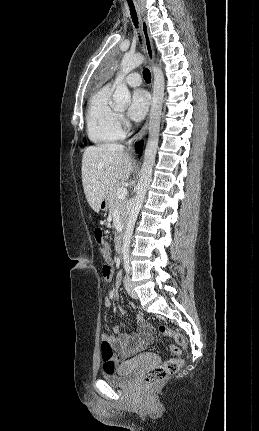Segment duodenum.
I'll return each instance as SVG.
<instances>
[{"label": "duodenum", "mask_w": 259, "mask_h": 431, "mask_svg": "<svg viewBox=\"0 0 259 431\" xmlns=\"http://www.w3.org/2000/svg\"><path fill=\"white\" fill-rule=\"evenodd\" d=\"M122 247H123V236H122V233H119L115 241V250L117 252H121Z\"/></svg>", "instance_id": "410a0bca"}]
</instances>
